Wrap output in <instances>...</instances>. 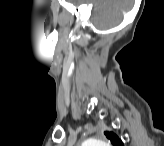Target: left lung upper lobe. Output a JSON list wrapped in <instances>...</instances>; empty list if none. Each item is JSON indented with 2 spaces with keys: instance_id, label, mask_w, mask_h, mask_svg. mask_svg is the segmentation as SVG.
Segmentation results:
<instances>
[{
  "instance_id": "obj_1",
  "label": "left lung upper lobe",
  "mask_w": 164,
  "mask_h": 146,
  "mask_svg": "<svg viewBox=\"0 0 164 146\" xmlns=\"http://www.w3.org/2000/svg\"><path fill=\"white\" fill-rule=\"evenodd\" d=\"M106 137L114 146H123L121 139L113 132H104Z\"/></svg>"
}]
</instances>
